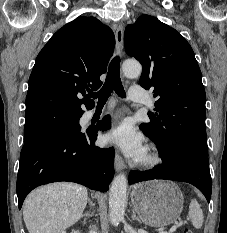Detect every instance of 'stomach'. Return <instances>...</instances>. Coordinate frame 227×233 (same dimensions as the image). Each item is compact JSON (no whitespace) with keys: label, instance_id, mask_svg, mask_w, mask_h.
<instances>
[{"label":"stomach","instance_id":"0dacf381","mask_svg":"<svg viewBox=\"0 0 227 233\" xmlns=\"http://www.w3.org/2000/svg\"><path fill=\"white\" fill-rule=\"evenodd\" d=\"M131 201L143 223L153 227L172 224L183 211V195L169 181H150L133 187Z\"/></svg>","mask_w":227,"mask_h":233}]
</instances>
